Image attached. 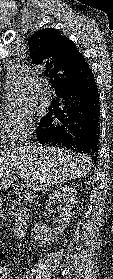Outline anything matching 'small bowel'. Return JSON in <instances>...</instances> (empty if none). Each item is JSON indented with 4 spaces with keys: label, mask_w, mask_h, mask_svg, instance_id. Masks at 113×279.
<instances>
[{
    "label": "small bowel",
    "mask_w": 113,
    "mask_h": 279,
    "mask_svg": "<svg viewBox=\"0 0 113 279\" xmlns=\"http://www.w3.org/2000/svg\"><path fill=\"white\" fill-rule=\"evenodd\" d=\"M8 278V270L6 268L0 269V279H7Z\"/></svg>",
    "instance_id": "1"
}]
</instances>
